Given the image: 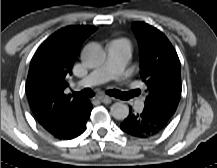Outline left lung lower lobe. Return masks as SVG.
<instances>
[{
    "mask_svg": "<svg viewBox=\"0 0 217 168\" xmlns=\"http://www.w3.org/2000/svg\"><path fill=\"white\" fill-rule=\"evenodd\" d=\"M171 118L163 111L144 107L140 113L129 114L120 124V128L129 135L145 138L162 131L169 124Z\"/></svg>",
    "mask_w": 217,
    "mask_h": 168,
    "instance_id": "1",
    "label": "left lung lower lobe"
}]
</instances>
